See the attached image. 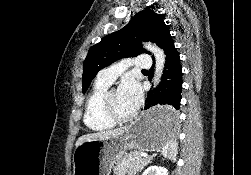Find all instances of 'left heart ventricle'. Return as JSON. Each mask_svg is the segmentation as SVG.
<instances>
[{
	"label": "left heart ventricle",
	"mask_w": 251,
	"mask_h": 175,
	"mask_svg": "<svg viewBox=\"0 0 251 175\" xmlns=\"http://www.w3.org/2000/svg\"><path fill=\"white\" fill-rule=\"evenodd\" d=\"M111 110L119 115H130V112L121 104L118 97V90H114L109 98Z\"/></svg>",
	"instance_id": "left-heart-ventricle-1"
}]
</instances>
